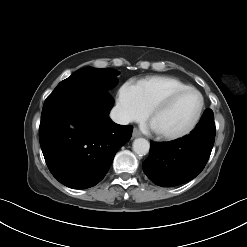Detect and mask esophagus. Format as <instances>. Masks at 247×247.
<instances>
[{"label":"esophagus","mask_w":247,"mask_h":247,"mask_svg":"<svg viewBox=\"0 0 247 247\" xmlns=\"http://www.w3.org/2000/svg\"><path fill=\"white\" fill-rule=\"evenodd\" d=\"M132 135H133V138H136V137H140L142 134L137 128H134Z\"/></svg>","instance_id":"1"}]
</instances>
